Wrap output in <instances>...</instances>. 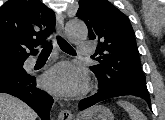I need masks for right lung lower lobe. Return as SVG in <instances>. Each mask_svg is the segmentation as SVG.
Returning <instances> with one entry per match:
<instances>
[{"label":"right lung lower lobe","mask_w":165,"mask_h":120,"mask_svg":"<svg viewBox=\"0 0 165 120\" xmlns=\"http://www.w3.org/2000/svg\"><path fill=\"white\" fill-rule=\"evenodd\" d=\"M0 92L8 93L27 103L42 120H50L53 98L36 87V78L25 71H0Z\"/></svg>","instance_id":"obj_1"}]
</instances>
